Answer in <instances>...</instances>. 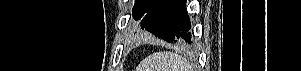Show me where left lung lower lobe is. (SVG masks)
I'll list each match as a JSON object with an SVG mask.
<instances>
[{
  "mask_svg": "<svg viewBox=\"0 0 301 71\" xmlns=\"http://www.w3.org/2000/svg\"><path fill=\"white\" fill-rule=\"evenodd\" d=\"M186 0H159L142 18L141 28L169 43L190 47L191 22Z\"/></svg>",
  "mask_w": 301,
  "mask_h": 71,
  "instance_id": "1",
  "label": "left lung lower lobe"
}]
</instances>
